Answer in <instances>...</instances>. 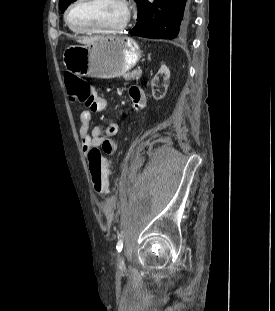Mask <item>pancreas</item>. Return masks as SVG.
I'll use <instances>...</instances> for the list:
<instances>
[{
    "mask_svg": "<svg viewBox=\"0 0 275 311\" xmlns=\"http://www.w3.org/2000/svg\"><path fill=\"white\" fill-rule=\"evenodd\" d=\"M140 76H141V72L138 70H134L132 72L123 74V78L127 81L135 80V79L137 80L139 79Z\"/></svg>",
    "mask_w": 275,
    "mask_h": 311,
    "instance_id": "cf45deb5",
    "label": "pancreas"
}]
</instances>
